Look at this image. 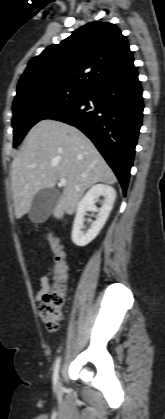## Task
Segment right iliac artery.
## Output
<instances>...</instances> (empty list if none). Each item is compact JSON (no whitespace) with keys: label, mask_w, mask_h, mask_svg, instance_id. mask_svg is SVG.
I'll use <instances>...</instances> for the list:
<instances>
[{"label":"right iliac artery","mask_w":165,"mask_h":419,"mask_svg":"<svg viewBox=\"0 0 165 419\" xmlns=\"http://www.w3.org/2000/svg\"><path fill=\"white\" fill-rule=\"evenodd\" d=\"M59 367H60V358H58L55 362L54 371H53V383L56 385L58 381V373H59Z\"/></svg>","instance_id":"1"}]
</instances>
